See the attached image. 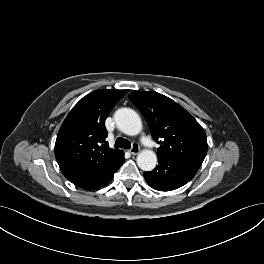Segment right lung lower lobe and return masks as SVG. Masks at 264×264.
Segmentation results:
<instances>
[{
    "instance_id": "1",
    "label": "right lung lower lobe",
    "mask_w": 264,
    "mask_h": 264,
    "mask_svg": "<svg viewBox=\"0 0 264 264\" xmlns=\"http://www.w3.org/2000/svg\"><path fill=\"white\" fill-rule=\"evenodd\" d=\"M124 161V153L122 152L101 169L80 180L75 181L74 184L86 190L103 187L112 180L113 174L120 168Z\"/></svg>"
}]
</instances>
